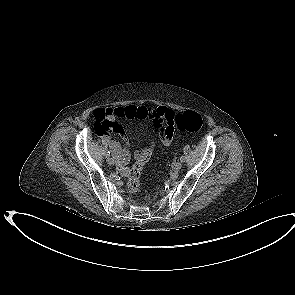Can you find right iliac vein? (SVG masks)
<instances>
[{"mask_svg":"<svg viewBox=\"0 0 295 295\" xmlns=\"http://www.w3.org/2000/svg\"><path fill=\"white\" fill-rule=\"evenodd\" d=\"M107 162L109 165H114L115 164V160L113 158L108 157L107 158Z\"/></svg>","mask_w":295,"mask_h":295,"instance_id":"obj_1","label":"right iliac vein"}]
</instances>
